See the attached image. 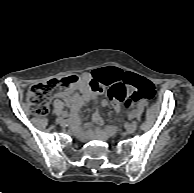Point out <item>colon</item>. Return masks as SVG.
Segmentation results:
<instances>
[{"instance_id": "5ec220e1", "label": "colon", "mask_w": 194, "mask_h": 193, "mask_svg": "<svg viewBox=\"0 0 194 193\" xmlns=\"http://www.w3.org/2000/svg\"><path fill=\"white\" fill-rule=\"evenodd\" d=\"M77 82V76L71 75L32 84L26 99L30 110L39 115L45 114L52 93L57 90L70 91L76 87ZM102 85L108 88V96L113 103H121L128 107L132 103L134 94H128L126 86L139 85L142 87L146 85V82L133 74L125 73L120 80L113 79L104 84L92 83V91L94 93L100 92L103 89Z\"/></svg>"}]
</instances>
